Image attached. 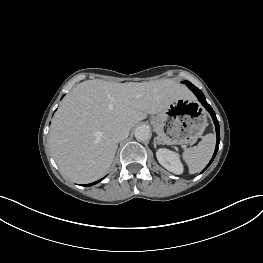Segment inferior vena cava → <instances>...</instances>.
Returning a JSON list of instances; mask_svg holds the SVG:
<instances>
[{
	"mask_svg": "<svg viewBox=\"0 0 263 263\" xmlns=\"http://www.w3.org/2000/svg\"><path fill=\"white\" fill-rule=\"evenodd\" d=\"M129 136V129L125 126L118 125L112 130V138L116 142H120Z\"/></svg>",
	"mask_w": 263,
	"mask_h": 263,
	"instance_id": "602c4592",
	"label": "inferior vena cava"
}]
</instances>
